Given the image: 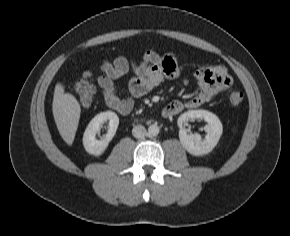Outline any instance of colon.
<instances>
[{"label":"colon","instance_id":"5ec220e1","mask_svg":"<svg viewBox=\"0 0 290 236\" xmlns=\"http://www.w3.org/2000/svg\"><path fill=\"white\" fill-rule=\"evenodd\" d=\"M92 79V71H86L76 83L77 98L82 106H89L94 100L95 87ZM243 98V93L240 91H232L229 95V100L234 105L240 104Z\"/></svg>","mask_w":290,"mask_h":236}]
</instances>
